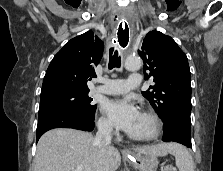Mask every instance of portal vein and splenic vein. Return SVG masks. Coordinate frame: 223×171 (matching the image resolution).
I'll use <instances>...</instances> for the list:
<instances>
[{"label": "portal vein and splenic vein", "mask_w": 223, "mask_h": 171, "mask_svg": "<svg viewBox=\"0 0 223 171\" xmlns=\"http://www.w3.org/2000/svg\"><path fill=\"white\" fill-rule=\"evenodd\" d=\"M75 171H83V167L82 166H78Z\"/></svg>", "instance_id": "1"}]
</instances>
